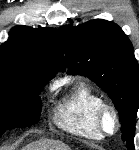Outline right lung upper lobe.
I'll use <instances>...</instances> for the list:
<instances>
[{"label": "right lung upper lobe", "mask_w": 139, "mask_h": 150, "mask_svg": "<svg viewBox=\"0 0 139 150\" xmlns=\"http://www.w3.org/2000/svg\"><path fill=\"white\" fill-rule=\"evenodd\" d=\"M0 47V71L29 74L45 82L58 71L65 70V61L55 28L34 29L16 26Z\"/></svg>", "instance_id": "right-lung-upper-lobe-1"}]
</instances>
